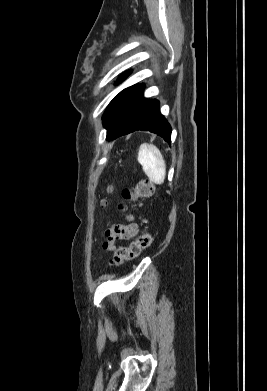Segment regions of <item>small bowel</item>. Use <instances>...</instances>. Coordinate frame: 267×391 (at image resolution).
Here are the masks:
<instances>
[{
    "label": "small bowel",
    "mask_w": 267,
    "mask_h": 391,
    "mask_svg": "<svg viewBox=\"0 0 267 391\" xmlns=\"http://www.w3.org/2000/svg\"><path fill=\"white\" fill-rule=\"evenodd\" d=\"M139 231V226L129 218L126 224L110 225L105 231V240L103 248L108 251L116 249L117 242H125L130 240Z\"/></svg>",
    "instance_id": "obj_1"
}]
</instances>
